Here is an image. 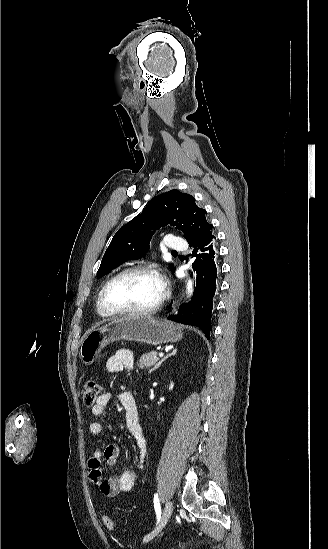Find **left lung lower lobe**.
I'll use <instances>...</instances> for the list:
<instances>
[{"label": "left lung lower lobe", "instance_id": "0a47b994", "mask_svg": "<svg viewBox=\"0 0 328 549\" xmlns=\"http://www.w3.org/2000/svg\"><path fill=\"white\" fill-rule=\"evenodd\" d=\"M215 236L212 235L193 246L192 257H196L192 267L196 274V288L192 300L179 307L173 321L200 327L207 338L212 329L210 320L213 299L218 290V252L215 248Z\"/></svg>", "mask_w": 328, "mask_h": 549}]
</instances>
